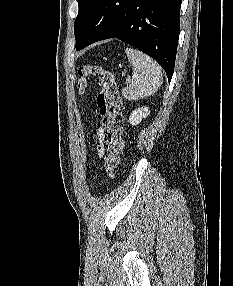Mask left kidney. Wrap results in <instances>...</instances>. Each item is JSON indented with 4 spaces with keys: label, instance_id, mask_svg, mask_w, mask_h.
<instances>
[{
    "label": "left kidney",
    "instance_id": "1",
    "mask_svg": "<svg viewBox=\"0 0 233 286\" xmlns=\"http://www.w3.org/2000/svg\"><path fill=\"white\" fill-rule=\"evenodd\" d=\"M150 114V111L147 107H141L138 109H135L132 114L129 117L130 124L138 125L143 118H146Z\"/></svg>",
    "mask_w": 233,
    "mask_h": 286
}]
</instances>
